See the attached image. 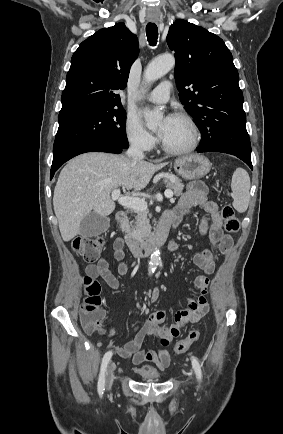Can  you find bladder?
Here are the masks:
<instances>
[{
    "instance_id": "obj_1",
    "label": "bladder",
    "mask_w": 283,
    "mask_h": 434,
    "mask_svg": "<svg viewBox=\"0 0 283 434\" xmlns=\"http://www.w3.org/2000/svg\"><path fill=\"white\" fill-rule=\"evenodd\" d=\"M143 380L145 381H157L161 379V374L152 366H147L141 370L136 371Z\"/></svg>"
}]
</instances>
